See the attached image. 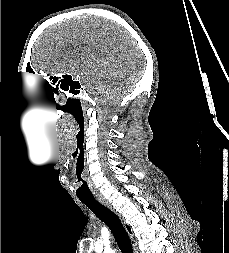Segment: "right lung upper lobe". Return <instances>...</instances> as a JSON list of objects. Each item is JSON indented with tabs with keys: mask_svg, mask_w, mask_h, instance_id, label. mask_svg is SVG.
Masks as SVG:
<instances>
[{
	"mask_svg": "<svg viewBox=\"0 0 229 253\" xmlns=\"http://www.w3.org/2000/svg\"><path fill=\"white\" fill-rule=\"evenodd\" d=\"M127 228H128V230H129V232H131L130 227H129V226H127Z\"/></svg>",
	"mask_w": 229,
	"mask_h": 253,
	"instance_id": "1",
	"label": "right lung upper lobe"
}]
</instances>
